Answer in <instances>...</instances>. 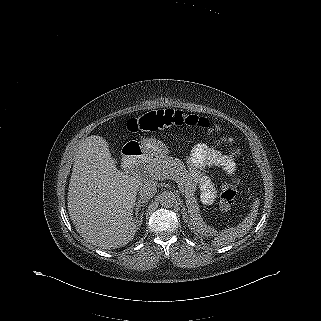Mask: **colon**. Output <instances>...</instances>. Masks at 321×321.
I'll return each instance as SVG.
<instances>
[{
    "instance_id": "5ec220e1",
    "label": "colon",
    "mask_w": 321,
    "mask_h": 321,
    "mask_svg": "<svg viewBox=\"0 0 321 321\" xmlns=\"http://www.w3.org/2000/svg\"><path fill=\"white\" fill-rule=\"evenodd\" d=\"M181 125H198L203 128H208L211 126V122L207 118L182 111L158 110L145 114L142 117L130 119L127 123V128L130 132H156L165 128ZM232 154L236 156L238 155V151L233 149ZM238 184L239 180L236 179L231 184L223 187L220 197V207L224 212H228L231 209L236 197Z\"/></svg>"
}]
</instances>
